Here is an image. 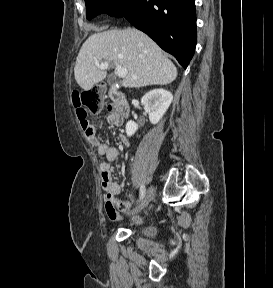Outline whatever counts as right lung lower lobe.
I'll use <instances>...</instances> for the list:
<instances>
[{"instance_id": "right-lung-lower-lobe-1", "label": "right lung lower lobe", "mask_w": 273, "mask_h": 288, "mask_svg": "<svg viewBox=\"0 0 273 288\" xmlns=\"http://www.w3.org/2000/svg\"><path fill=\"white\" fill-rule=\"evenodd\" d=\"M123 17L188 66L197 40L195 0H137Z\"/></svg>"}]
</instances>
